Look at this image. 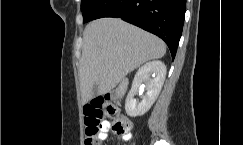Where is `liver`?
I'll return each mask as SVG.
<instances>
[{
    "mask_svg": "<svg viewBox=\"0 0 243 145\" xmlns=\"http://www.w3.org/2000/svg\"><path fill=\"white\" fill-rule=\"evenodd\" d=\"M165 43L134 25L116 18H101L89 23L83 33L79 64L83 103L93 96L110 92L131 71L143 63L162 58Z\"/></svg>",
    "mask_w": 243,
    "mask_h": 145,
    "instance_id": "liver-1",
    "label": "liver"
}]
</instances>
